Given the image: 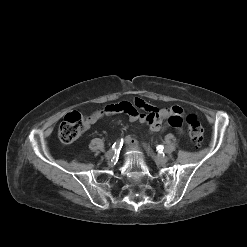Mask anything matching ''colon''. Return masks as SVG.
I'll use <instances>...</instances> for the list:
<instances>
[{
	"label": "colon",
	"instance_id": "5ec220e1",
	"mask_svg": "<svg viewBox=\"0 0 247 247\" xmlns=\"http://www.w3.org/2000/svg\"><path fill=\"white\" fill-rule=\"evenodd\" d=\"M188 135L191 142L199 146L203 140V127L197 116L190 114L187 117ZM86 118L79 111H72L68 113L58 130V136L61 142L70 144L77 140L79 136L86 129Z\"/></svg>",
	"mask_w": 247,
	"mask_h": 247
}]
</instances>
